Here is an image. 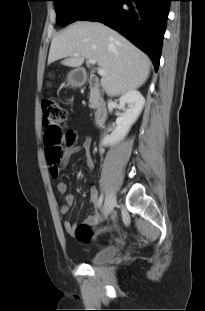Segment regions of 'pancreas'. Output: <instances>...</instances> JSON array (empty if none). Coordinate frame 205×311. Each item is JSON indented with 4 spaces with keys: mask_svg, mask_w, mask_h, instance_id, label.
<instances>
[{
    "mask_svg": "<svg viewBox=\"0 0 205 311\" xmlns=\"http://www.w3.org/2000/svg\"><path fill=\"white\" fill-rule=\"evenodd\" d=\"M89 102H90L89 107H90L91 109H95L96 106H97V98H96V95H95V94L92 93V94L90 95Z\"/></svg>",
    "mask_w": 205,
    "mask_h": 311,
    "instance_id": "pancreas-1",
    "label": "pancreas"
}]
</instances>
